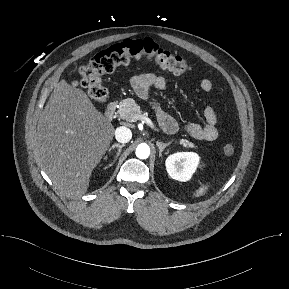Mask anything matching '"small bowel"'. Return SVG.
<instances>
[{"label": "small bowel", "mask_w": 289, "mask_h": 289, "mask_svg": "<svg viewBox=\"0 0 289 289\" xmlns=\"http://www.w3.org/2000/svg\"><path fill=\"white\" fill-rule=\"evenodd\" d=\"M167 81L164 77L152 73L135 76L132 80V87L135 93L142 99H147L151 89L164 90ZM199 87L202 91L208 92L212 89L213 83L210 79H202ZM159 122L162 128L168 133H175L179 130L177 121L167 112L157 108ZM204 124L187 122L182 126L191 137L198 140L213 141L218 137L217 115L212 107L206 106L203 110Z\"/></svg>", "instance_id": "small-bowel-1"}]
</instances>
